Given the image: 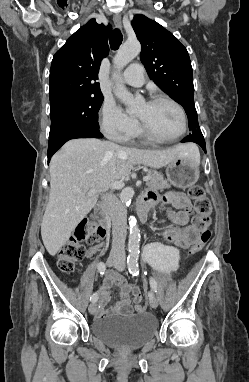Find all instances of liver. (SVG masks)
I'll return each mask as SVG.
<instances>
[{"mask_svg":"<svg viewBox=\"0 0 249 382\" xmlns=\"http://www.w3.org/2000/svg\"><path fill=\"white\" fill-rule=\"evenodd\" d=\"M178 156L200 161L198 148L179 144L165 150L122 147L95 138L72 139L56 153L49 166L50 192L41 236L51 256L62 248L78 223L95 206L98 194L127 176L134 165L161 168ZM95 189L97 193L88 196Z\"/></svg>","mask_w":249,"mask_h":382,"instance_id":"liver-1","label":"liver"}]
</instances>
